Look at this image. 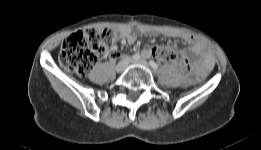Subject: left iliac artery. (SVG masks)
I'll use <instances>...</instances> for the list:
<instances>
[{"label": "left iliac artery", "mask_w": 261, "mask_h": 150, "mask_svg": "<svg viewBox=\"0 0 261 150\" xmlns=\"http://www.w3.org/2000/svg\"><path fill=\"white\" fill-rule=\"evenodd\" d=\"M149 64H150V66L153 68V70H155V71L157 70L158 66H157V64H156L155 61L150 60V61H149Z\"/></svg>", "instance_id": "44dca946"}]
</instances>
